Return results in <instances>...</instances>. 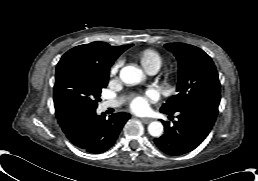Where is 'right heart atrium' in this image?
<instances>
[{"mask_svg":"<svg viewBox=\"0 0 258 181\" xmlns=\"http://www.w3.org/2000/svg\"><path fill=\"white\" fill-rule=\"evenodd\" d=\"M121 65H122V61H121V60L117 61V62L112 66V68H111V74H112V75L117 74L118 71H119V69H120V67H121Z\"/></svg>","mask_w":258,"mask_h":181,"instance_id":"d8ad5b80","label":"right heart atrium"}]
</instances>
